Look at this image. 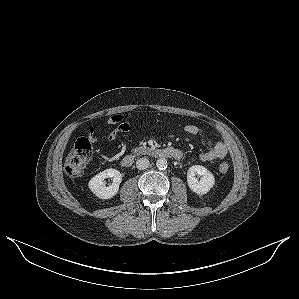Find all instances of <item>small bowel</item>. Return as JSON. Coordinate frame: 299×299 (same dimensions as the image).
Segmentation results:
<instances>
[{
	"label": "small bowel",
	"instance_id": "small-bowel-1",
	"mask_svg": "<svg viewBox=\"0 0 299 299\" xmlns=\"http://www.w3.org/2000/svg\"><path fill=\"white\" fill-rule=\"evenodd\" d=\"M115 124H119V126L107 133L104 134H98L93 127H87L86 128V134L87 138L92 142H97L99 139H103L106 142H111L117 138L118 135H120L123 132H126L129 130V123L124 120V117L121 115H113L111 116L107 122L106 125L108 127H111ZM184 130L193 136H196L199 133V129L195 125H186ZM179 151L178 158H181L182 151L177 149ZM228 153V148L225 143L218 141L215 144H211L210 149L207 152L201 153L199 155V158L201 161H213V160H222L226 157Z\"/></svg>",
	"mask_w": 299,
	"mask_h": 299
}]
</instances>
